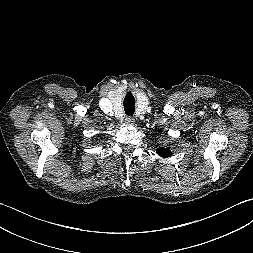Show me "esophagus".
<instances>
[{"mask_svg": "<svg viewBox=\"0 0 253 253\" xmlns=\"http://www.w3.org/2000/svg\"><path fill=\"white\" fill-rule=\"evenodd\" d=\"M125 123L127 125H133L135 123V119L133 117H126Z\"/></svg>", "mask_w": 253, "mask_h": 253, "instance_id": "34e87169", "label": "esophagus"}]
</instances>
